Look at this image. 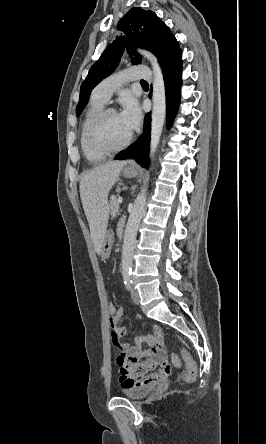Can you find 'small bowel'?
<instances>
[{
    "label": "small bowel",
    "instance_id": "1",
    "mask_svg": "<svg viewBox=\"0 0 266 444\" xmlns=\"http://www.w3.org/2000/svg\"><path fill=\"white\" fill-rule=\"evenodd\" d=\"M124 314L125 309L120 308L110 319L111 340L119 351L117 364L121 386L131 388L165 382L170 375L171 367L165 357V344L161 330L155 327L152 333L136 337L134 346L122 343L120 339L128 333L126 328L119 326ZM136 318L139 320V317ZM144 345L146 347H143Z\"/></svg>",
    "mask_w": 266,
    "mask_h": 444
}]
</instances>
